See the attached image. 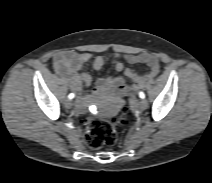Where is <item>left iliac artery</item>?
<instances>
[{
    "instance_id": "obj_1",
    "label": "left iliac artery",
    "mask_w": 212,
    "mask_h": 183,
    "mask_svg": "<svg viewBox=\"0 0 212 183\" xmlns=\"http://www.w3.org/2000/svg\"><path fill=\"white\" fill-rule=\"evenodd\" d=\"M139 97L143 99V98H145V94L143 92H140Z\"/></svg>"
}]
</instances>
